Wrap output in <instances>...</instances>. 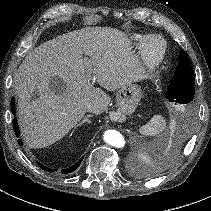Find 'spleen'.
I'll return each instance as SVG.
<instances>
[{
    "instance_id": "1",
    "label": "spleen",
    "mask_w": 211,
    "mask_h": 211,
    "mask_svg": "<svg viewBox=\"0 0 211 211\" xmlns=\"http://www.w3.org/2000/svg\"><path fill=\"white\" fill-rule=\"evenodd\" d=\"M166 125V119L162 115H155L140 128V133L145 136H156L166 129Z\"/></svg>"
}]
</instances>
